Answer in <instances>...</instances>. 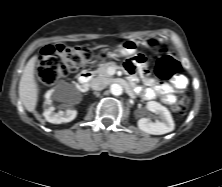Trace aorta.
<instances>
[{
	"mask_svg": "<svg viewBox=\"0 0 222 187\" xmlns=\"http://www.w3.org/2000/svg\"><path fill=\"white\" fill-rule=\"evenodd\" d=\"M122 86L120 84H112L110 86V92L114 95V96H119L122 94Z\"/></svg>",
	"mask_w": 222,
	"mask_h": 187,
	"instance_id": "762f6f07",
	"label": "aorta"
}]
</instances>
